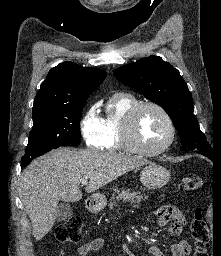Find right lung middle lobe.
I'll return each mask as SVG.
<instances>
[{"label": "right lung middle lobe", "instance_id": "dd1d6c3e", "mask_svg": "<svg viewBox=\"0 0 221 256\" xmlns=\"http://www.w3.org/2000/svg\"><path fill=\"white\" fill-rule=\"evenodd\" d=\"M86 101L74 106H62L32 111L33 129L30 132L21 166L59 146L79 145L80 120Z\"/></svg>", "mask_w": 221, "mask_h": 256}]
</instances>
